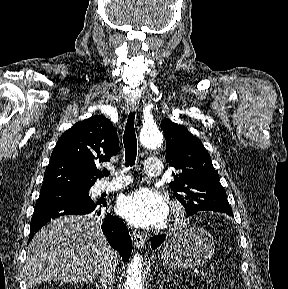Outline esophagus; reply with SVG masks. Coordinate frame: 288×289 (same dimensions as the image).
I'll list each match as a JSON object with an SVG mask.
<instances>
[{
    "instance_id": "34e87169",
    "label": "esophagus",
    "mask_w": 288,
    "mask_h": 289,
    "mask_svg": "<svg viewBox=\"0 0 288 289\" xmlns=\"http://www.w3.org/2000/svg\"><path fill=\"white\" fill-rule=\"evenodd\" d=\"M125 107H126L127 113L133 112L134 110L137 109V103L134 101H127ZM132 240H133L134 246L137 249H143L145 245V238L142 234L137 233V232H132Z\"/></svg>"
}]
</instances>
